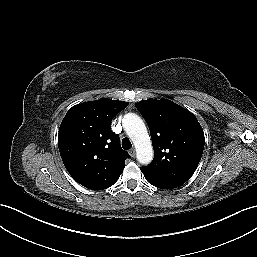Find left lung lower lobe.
<instances>
[{
  "mask_svg": "<svg viewBox=\"0 0 257 257\" xmlns=\"http://www.w3.org/2000/svg\"><path fill=\"white\" fill-rule=\"evenodd\" d=\"M147 181L160 189H172L181 186L188 179L178 176H173L167 172L157 173L154 175L148 174L144 169L140 168Z\"/></svg>",
  "mask_w": 257,
  "mask_h": 257,
  "instance_id": "left-lung-lower-lobe-1",
  "label": "left lung lower lobe"
}]
</instances>
